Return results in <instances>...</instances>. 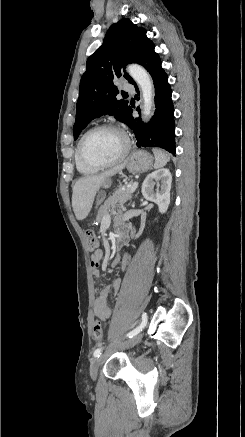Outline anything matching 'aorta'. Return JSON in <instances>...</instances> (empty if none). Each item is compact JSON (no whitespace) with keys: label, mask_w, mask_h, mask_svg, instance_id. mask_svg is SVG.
<instances>
[{"label":"aorta","mask_w":245,"mask_h":437,"mask_svg":"<svg viewBox=\"0 0 245 437\" xmlns=\"http://www.w3.org/2000/svg\"><path fill=\"white\" fill-rule=\"evenodd\" d=\"M128 72L130 76L136 81V83L140 86L142 94H143V118L144 120L150 117L152 104H153V83L150 78V75L147 71L140 65L132 64L128 67Z\"/></svg>","instance_id":"1"}]
</instances>
